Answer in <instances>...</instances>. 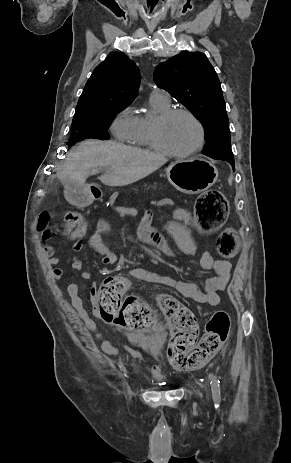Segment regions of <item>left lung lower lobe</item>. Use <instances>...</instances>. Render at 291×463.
Instances as JSON below:
<instances>
[{"label":"left lung lower lobe","mask_w":291,"mask_h":463,"mask_svg":"<svg viewBox=\"0 0 291 463\" xmlns=\"http://www.w3.org/2000/svg\"><path fill=\"white\" fill-rule=\"evenodd\" d=\"M218 159H219V160H225V161L229 162V163L232 165L233 170H235L234 159H232V158H227V157H220V158H218Z\"/></svg>","instance_id":"0a47b994"}]
</instances>
